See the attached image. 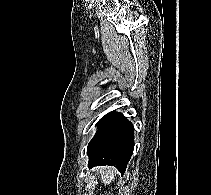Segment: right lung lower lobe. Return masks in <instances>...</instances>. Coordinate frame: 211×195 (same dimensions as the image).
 <instances>
[{
  "label": "right lung lower lobe",
  "mask_w": 211,
  "mask_h": 195,
  "mask_svg": "<svg viewBox=\"0 0 211 195\" xmlns=\"http://www.w3.org/2000/svg\"><path fill=\"white\" fill-rule=\"evenodd\" d=\"M97 125L98 130L88 144V166L111 165L123 174L134 149L132 123L121 113L110 112Z\"/></svg>",
  "instance_id": "obj_1"
}]
</instances>
